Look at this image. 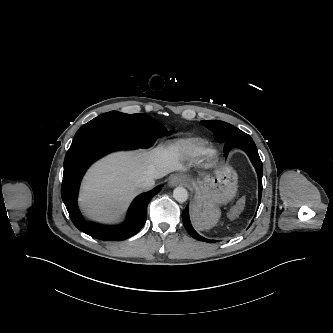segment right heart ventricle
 I'll return each instance as SVG.
<instances>
[{"mask_svg":"<svg viewBox=\"0 0 333 333\" xmlns=\"http://www.w3.org/2000/svg\"><path fill=\"white\" fill-rule=\"evenodd\" d=\"M205 147L206 142L200 138H188L174 145L175 151L189 158L199 156Z\"/></svg>","mask_w":333,"mask_h":333,"instance_id":"obj_1","label":"right heart ventricle"}]
</instances>
